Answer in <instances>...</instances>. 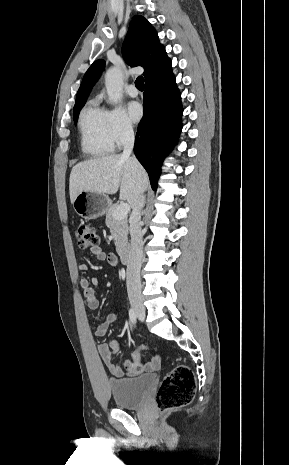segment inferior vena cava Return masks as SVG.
Segmentation results:
<instances>
[{
  "mask_svg": "<svg viewBox=\"0 0 289 465\" xmlns=\"http://www.w3.org/2000/svg\"><path fill=\"white\" fill-rule=\"evenodd\" d=\"M134 132L132 127H126L123 134V158H130L134 147ZM136 160L134 157H132ZM142 191L133 207L130 216L131 246L127 264V292L130 301L139 299L141 296L140 268L143 257V233L141 231V209L145 204V196Z\"/></svg>",
  "mask_w": 289,
  "mask_h": 465,
  "instance_id": "obj_1",
  "label": "inferior vena cava"
}]
</instances>
